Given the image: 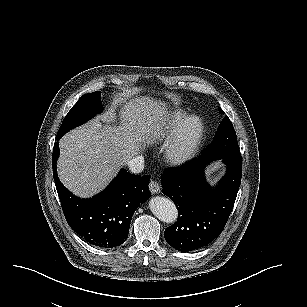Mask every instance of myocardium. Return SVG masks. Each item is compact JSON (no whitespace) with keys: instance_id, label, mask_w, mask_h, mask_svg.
<instances>
[{"instance_id":"myocardium-1","label":"myocardium","mask_w":307,"mask_h":307,"mask_svg":"<svg viewBox=\"0 0 307 307\" xmlns=\"http://www.w3.org/2000/svg\"><path fill=\"white\" fill-rule=\"evenodd\" d=\"M201 122L197 116L191 115L182 121L164 147H160V156L168 164L182 160H190L197 152V144L201 133Z\"/></svg>"}]
</instances>
